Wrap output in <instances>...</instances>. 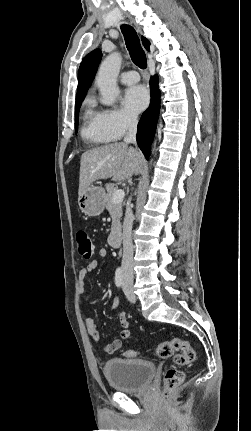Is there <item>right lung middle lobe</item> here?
Masks as SVG:
<instances>
[{
    "label": "right lung middle lobe",
    "instance_id": "dd1d6c3e",
    "mask_svg": "<svg viewBox=\"0 0 251 431\" xmlns=\"http://www.w3.org/2000/svg\"><path fill=\"white\" fill-rule=\"evenodd\" d=\"M83 100L84 99L76 100V103H75V129H76V131L78 129L79 110H80V106H81V103Z\"/></svg>",
    "mask_w": 251,
    "mask_h": 431
}]
</instances>
